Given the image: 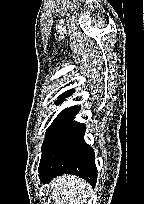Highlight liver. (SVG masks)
<instances>
[{
	"label": "liver",
	"mask_w": 144,
	"mask_h": 204,
	"mask_svg": "<svg viewBox=\"0 0 144 204\" xmlns=\"http://www.w3.org/2000/svg\"><path fill=\"white\" fill-rule=\"evenodd\" d=\"M51 189L55 204H82L91 187L82 178L64 174L52 180Z\"/></svg>",
	"instance_id": "liver-1"
}]
</instances>
